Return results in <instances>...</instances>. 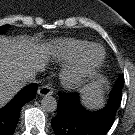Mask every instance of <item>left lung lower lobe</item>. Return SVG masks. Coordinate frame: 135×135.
Here are the masks:
<instances>
[{"label": "left lung lower lobe", "instance_id": "0a47b994", "mask_svg": "<svg viewBox=\"0 0 135 135\" xmlns=\"http://www.w3.org/2000/svg\"><path fill=\"white\" fill-rule=\"evenodd\" d=\"M124 79L117 81L107 106L98 112L85 110L77 93H59L57 115L51 120L56 135H105L121 104Z\"/></svg>", "mask_w": 135, "mask_h": 135}]
</instances>
